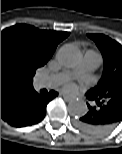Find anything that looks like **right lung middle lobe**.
<instances>
[{
  "instance_id": "right-lung-middle-lobe-1",
  "label": "right lung middle lobe",
  "mask_w": 122,
  "mask_h": 154,
  "mask_svg": "<svg viewBox=\"0 0 122 154\" xmlns=\"http://www.w3.org/2000/svg\"><path fill=\"white\" fill-rule=\"evenodd\" d=\"M7 63L14 69L26 74L30 80H33L35 70L37 69L34 65L29 64L27 61L17 56L13 51L6 50L4 53Z\"/></svg>"
}]
</instances>
